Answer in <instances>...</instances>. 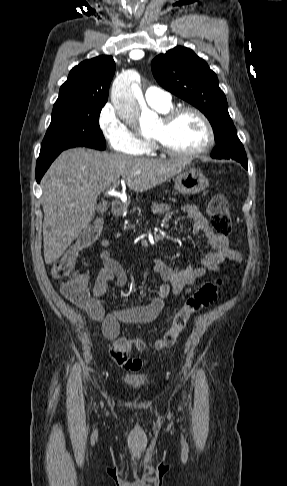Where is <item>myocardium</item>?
<instances>
[{
    "mask_svg": "<svg viewBox=\"0 0 287 486\" xmlns=\"http://www.w3.org/2000/svg\"><path fill=\"white\" fill-rule=\"evenodd\" d=\"M185 113L195 114L203 123L206 130V142L205 144L192 151H179L172 148L165 140L163 135L152 136L150 141L162 153L178 158H191L209 152L215 144V133L213 126L208 119V117L197 107L194 106H180L170 109L168 112L164 113L161 121L163 124V129L166 131L175 122V120Z\"/></svg>",
    "mask_w": 287,
    "mask_h": 486,
    "instance_id": "myocardium-1",
    "label": "myocardium"
}]
</instances>
